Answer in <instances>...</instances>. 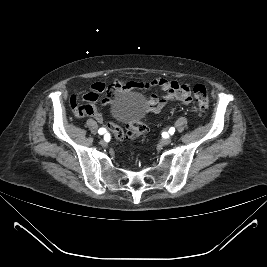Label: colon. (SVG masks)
Masks as SVG:
<instances>
[{"instance_id":"colon-1","label":"colon","mask_w":267,"mask_h":267,"mask_svg":"<svg viewBox=\"0 0 267 267\" xmlns=\"http://www.w3.org/2000/svg\"><path fill=\"white\" fill-rule=\"evenodd\" d=\"M193 93L196 108L200 112L207 111L209 107V98L205 86L201 84L195 85L193 88ZM108 127L116 139L123 140L126 138L131 142L142 136L146 131V126L142 120L130 123L126 134L116 122H110Z\"/></svg>"}]
</instances>
